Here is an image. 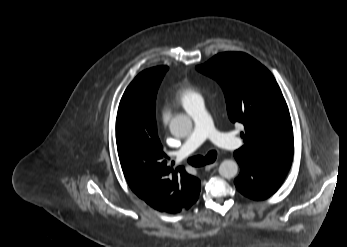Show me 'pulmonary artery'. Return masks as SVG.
Instances as JSON below:
<instances>
[{
    "mask_svg": "<svg viewBox=\"0 0 347 247\" xmlns=\"http://www.w3.org/2000/svg\"><path fill=\"white\" fill-rule=\"evenodd\" d=\"M186 111L194 121V129L177 152L176 155L179 159L190 155L207 139L224 149L240 147L242 142L239 138L228 133H221L214 128L202 98L193 101Z\"/></svg>",
    "mask_w": 347,
    "mask_h": 247,
    "instance_id": "obj_1",
    "label": "pulmonary artery"
}]
</instances>
